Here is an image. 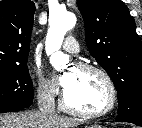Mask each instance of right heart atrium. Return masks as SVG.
<instances>
[{"instance_id":"1","label":"right heart atrium","mask_w":142,"mask_h":128,"mask_svg":"<svg viewBox=\"0 0 142 128\" xmlns=\"http://www.w3.org/2000/svg\"><path fill=\"white\" fill-rule=\"evenodd\" d=\"M57 86L53 79L46 77L40 70L37 72V94L44 101H53Z\"/></svg>"}]
</instances>
